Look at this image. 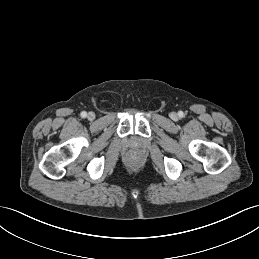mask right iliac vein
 <instances>
[{
  "label": "right iliac vein",
  "mask_w": 259,
  "mask_h": 259,
  "mask_svg": "<svg viewBox=\"0 0 259 259\" xmlns=\"http://www.w3.org/2000/svg\"><path fill=\"white\" fill-rule=\"evenodd\" d=\"M87 117L89 120H93L95 118V114L93 112H89Z\"/></svg>",
  "instance_id": "1"
}]
</instances>
